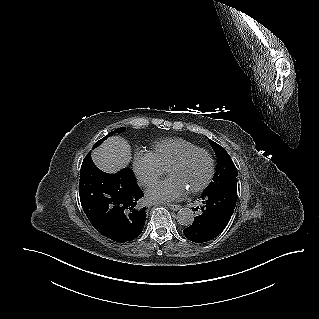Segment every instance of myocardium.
I'll return each instance as SVG.
<instances>
[{"label":"myocardium","instance_id":"myocardium-1","mask_svg":"<svg viewBox=\"0 0 319 319\" xmlns=\"http://www.w3.org/2000/svg\"><path fill=\"white\" fill-rule=\"evenodd\" d=\"M196 154H204L207 157V159L209 161V171H208V174H207L205 180L200 185L189 190V192L193 193V194L203 191L205 188L208 187V185L211 183V181L213 179V176L215 173V161H214L212 154L207 149L201 148V147L190 149V150L184 152L176 160H174L167 168V172H169L171 169L176 168L178 166H181L189 158H191L192 156H194Z\"/></svg>","mask_w":319,"mask_h":319}]
</instances>
